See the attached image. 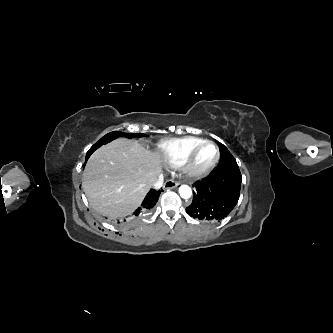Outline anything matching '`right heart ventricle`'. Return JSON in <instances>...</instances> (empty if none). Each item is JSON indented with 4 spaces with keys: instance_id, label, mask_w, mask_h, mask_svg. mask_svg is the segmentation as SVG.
I'll use <instances>...</instances> for the list:
<instances>
[{
    "instance_id": "right-heart-ventricle-1",
    "label": "right heart ventricle",
    "mask_w": 333,
    "mask_h": 333,
    "mask_svg": "<svg viewBox=\"0 0 333 333\" xmlns=\"http://www.w3.org/2000/svg\"><path fill=\"white\" fill-rule=\"evenodd\" d=\"M205 141L198 137H183L165 140L156 147V152L163 162L171 167L183 164L190 152Z\"/></svg>"
}]
</instances>
